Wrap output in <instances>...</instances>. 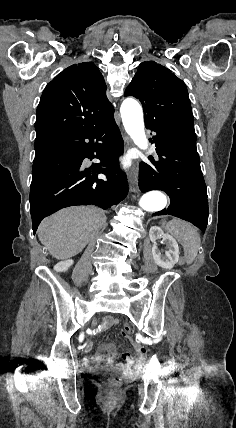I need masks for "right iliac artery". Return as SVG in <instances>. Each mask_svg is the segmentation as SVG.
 Returning a JSON list of instances; mask_svg holds the SVG:
<instances>
[{"label": "right iliac artery", "mask_w": 236, "mask_h": 428, "mask_svg": "<svg viewBox=\"0 0 236 428\" xmlns=\"http://www.w3.org/2000/svg\"><path fill=\"white\" fill-rule=\"evenodd\" d=\"M83 339H84V333L80 334L79 341L82 342Z\"/></svg>", "instance_id": "right-iliac-artery-1"}]
</instances>
